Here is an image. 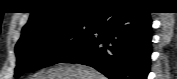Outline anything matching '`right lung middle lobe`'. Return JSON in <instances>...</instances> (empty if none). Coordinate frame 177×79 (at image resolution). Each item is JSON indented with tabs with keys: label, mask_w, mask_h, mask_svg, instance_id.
I'll return each mask as SVG.
<instances>
[{
	"label": "right lung middle lobe",
	"mask_w": 177,
	"mask_h": 79,
	"mask_svg": "<svg viewBox=\"0 0 177 79\" xmlns=\"http://www.w3.org/2000/svg\"><path fill=\"white\" fill-rule=\"evenodd\" d=\"M93 21H73L33 31L20 38L15 53V77L36 68L59 63L77 46L87 40Z\"/></svg>",
	"instance_id": "right-lung-middle-lobe-1"
}]
</instances>
